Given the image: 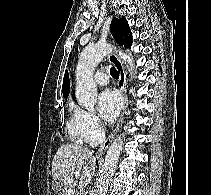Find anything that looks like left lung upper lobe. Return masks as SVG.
<instances>
[{
    "label": "left lung upper lobe",
    "mask_w": 211,
    "mask_h": 195,
    "mask_svg": "<svg viewBox=\"0 0 211 195\" xmlns=\"http://www.w3.org/2000/svg\"><path fill=\"white\" fill-rule=\"evenodd\" d=\"M110 31L119 45L131 47L132 34L125 18L117 19L115 17L111 22Z\"/></svg>",
    "instance_id": "obj_1"
}]
</instances>
